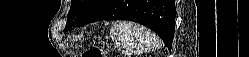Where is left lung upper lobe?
Masks as SVG:
<instances>
[{"label": "left lung upper lobe", "mask_w": 249, "mask_h": 57, "mask_svg": "<svg viewBox=\"0 0 249 57\" xmlns=\"http://www.w3.org/2000/svg\"><path fill=\"white\" fill-rule=\"evenodd\" d=\"M110 0H72L65 30L79 26L96 15Z\"/></svg>", "instance_id": "left-lung-upper-lobe-1"}]
</instances>
